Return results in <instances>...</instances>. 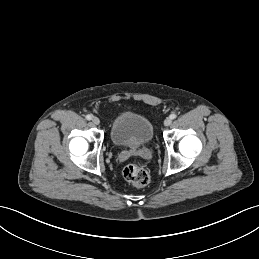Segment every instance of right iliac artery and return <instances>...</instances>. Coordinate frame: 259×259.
Segmentation results:
<instances>
[{
	"label": "right iliac artery",
	"mask_w": 259,
	"mask_h": 259,
	"mask_svg": "<svg viewBox=\"0 0 259 259\" xmlns=\"http://www.w3.org/2000/svg\"><path fill=\"white\" fill-rule=\"evenodd\" d=\"M86 119L87 120H91L92 119V115H90V114L86 115Z\"/></svg>",
	"instance_id": "right-iliac-artery-1"
}]
</instances>
